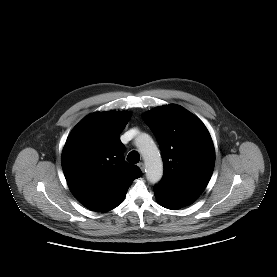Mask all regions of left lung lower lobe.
Listing matches in <instances>:
<instances>
[{"mask_svg":"<svg viewBox=\"0 0 277 277\" xmlns=\"http://www.w3.org/2000/svg\"><path fill=\"white\" fill-rule=\"evenodd\" d=\"M154 192L160 204L172 210L189 205L199 197L197 194L175 191L161 184L154 186Z\"/></svg>","mask_w":277,"mask_h":277,"instance_id":"1","label":"left lung lower lobe"}]
</instances>
